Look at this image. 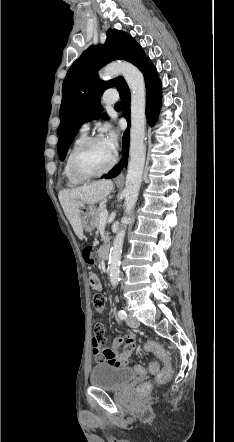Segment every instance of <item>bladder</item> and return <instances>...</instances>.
Returning <instances> with one entry per match:
<instances>
[{
    "mask_svg": "<svg viewBox=\"0 0 234 442\" xmlns=\"http://www.w3.org/2000/svg\"><path fill=\"white\" fill-rule=\"evenodd\" d=\"M136 376V370L131 367L98 364L91 371L90 384L97 388L118 390L129 384Z\"/></svg>",
    "mask_w": 234,
    "mask_h": 442,
    "instance_id": "31cf9c89",
    "label": "bladder"
}]
</instances>
